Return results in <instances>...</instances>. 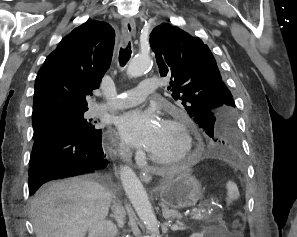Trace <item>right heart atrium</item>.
Here are the masks:
<instances>
[{"label": "right heart atrium", "mask_w": 297, "mask_h": 237, "mask_svg": "<svg viewBox=\"0 0 297 237\" xmlns=\"http://www.w3.org/2000/svg\"><path fill=\"white\" fill-rule=\"evenodd\" d=\"M117 149H118V152L120 153V155H122L124 157L130 153L129 146L123 141L118 143Z\"/></svg>", "instance_id": "obj_1"}]
</instances>
